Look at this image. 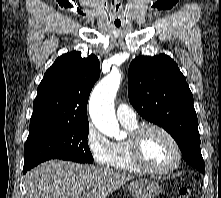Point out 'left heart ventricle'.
<instances>
[{"mask_svg":"<svg viewBox=\"0 0 221 198\" xmlns=\"http://www.w3.org/2000/svg\"><path fill=\"white\" fill-rule=\"evenodd\" d=\"M142 154L145 162L152 168L165 169L176 159L175 149L170 140L161 132L149 130L142 141Z\"/></svg>","mask_w":221,"mask_h":198,"instance_id":"obj_1","label":"left heart ventricle"}]
</instances>
